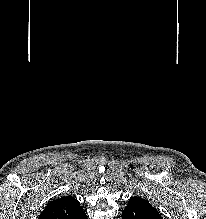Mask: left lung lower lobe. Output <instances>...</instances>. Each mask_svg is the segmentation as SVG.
Returning a JSON list of instances; mask_svg holds the SVG:
<instances>
[{
	"mask_svg": "<svg viewBox=\"0 0 206 219\" xmlns=\"http://www.w3.org/2000/svg\"><path fill=\"white\" fill-rule=\"evenodd\" d=\"M122 219H163L147 200L133 197L122 212Z\"/></svg>",
	"mask_w": 206,
	"mask_h": 219,
	"instance_id": "obj_1",
	"label": "left lung lower lobe"
}]
</instances>
